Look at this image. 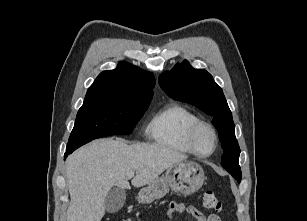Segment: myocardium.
<instances>
[{"mask_svg":"<svg viewBox=\"0 0 307 221\" xmlns=\"http://www.w3.org/2000/svg\"><path fill=\"white\" fill-rule=\"evenodd\" d=\"M201 129L208 130L210 134L212 135L213 147L209 153L200 152L196 146V143H195L196 135ZM185 143L187 147L189 148V150L191 151V153L201 158H207V157H210L217 149L218 135H217L215 128L210 123L203 121V120H197L196 122L192 123L187 129L186 134H185Z\"/></svg>","mask_w":307,"mask_h":221,"instance_id":"obj_1","label":"myocardium"}]
</instances>
